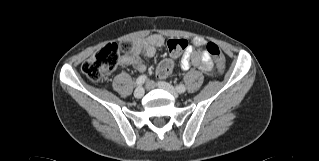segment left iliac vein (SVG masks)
<instances>
[{
	"label": "left iliac vein",
	"instance_id": "1",
	"mask_svg": "<svg viewBox=\"0 0 319 161\" xmlns=\"http://www.w3.org/2000/svg\"><path fill=\"white\" fill-rule=\"evenodd\" d=\"M158 87L171 93L175 98H177L179 96V93L177 92V90L171 86L169 83L165 82V81H160L157 83Z\"/></svg>",
	"mask_w": 319,
	"mask_h": 161
}]
</instances>
